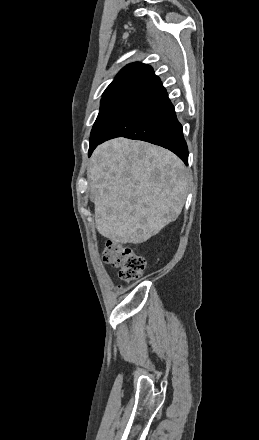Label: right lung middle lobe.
I'll return each instance as SVG.
<instances>
[{
  "label": "right lung middle lobe",
  "instance_id": "1",
  "mask_svg": "<svg viewBox=\"0 0 259 440\" xmlns=\"http://www.w3.org/2000/svg\"><path fill=\"white\" fill-rule=\"evenodd\" d=\"M146 93H117L103 96L100 112L91 131L90 143L104 137L144 98Z\"/></svg>",
  "mask_w": 259,
  "mask_h": 440
}]
</instances>
